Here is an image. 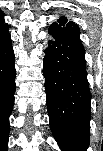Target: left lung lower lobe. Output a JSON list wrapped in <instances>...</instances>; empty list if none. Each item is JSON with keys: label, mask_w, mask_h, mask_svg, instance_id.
<instances>
[{"label": "left lung lower lobe", "mask_w": 103, "mask_h": 151, "mask_svg": "<svg viewBox=\"0 0 103 151\" xmlns=\"http://www.w3.org/2000/svg\"><path fill=\"white\" fill-rule=\"evenodd\" d=\"M52 40L44 58L45 87L51 130L63 151L89 146L90 99L80 29L49 28Z\"/></svg>", "instance_id": "left-lung-lower-lobe-1"}]
</instances>
